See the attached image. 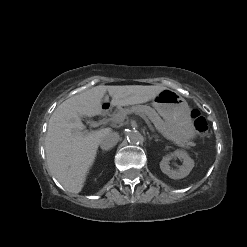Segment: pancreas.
Segmentation results:
<instances>
[{"mask_svg": "<svg viewBox=\"0 0 247 247\" xmlns=\"http://www.w3.org/2000/svg\"><path fill=\"white\" fill-rule=\"evenodd\" d=\"M131 113L147 115L153 122L156 130L161 133L163 137L179 146L188 147L184 141H182L173 131L170 130L167 123L161 119L156 111L147 105H135L129 108H121L115 115H113L112 120L118 115L125 119V117Z\"/></svg>", "mask_w": 247, "mask_h": 247, "instance_id": "pancreas-1", "label": "pancreas"}]
</instances>
